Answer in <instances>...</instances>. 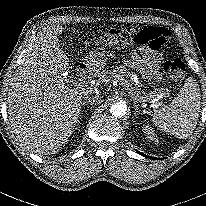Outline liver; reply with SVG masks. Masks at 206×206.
<instances>
[{"instance_id":"liver-1","label":"liver","mask_w":206,"mask_h":206,"mask_svg":"<svg viewBox=\"0 0 206 206\" xmlns=\"http://www.w3.org/2000/svg\"><path fill=\"white\" fill-rule=\"evenodd\" d=\"M62 27H44L33 50L11 78L7 97L9 120L16 137L28 150L39 154L57 153L74 131L87 85L65 86L59 70L70 59L60 48ZM88 72L98 73L105 55L91 52L85 59Z\"/></svg>"}]
</instances>
